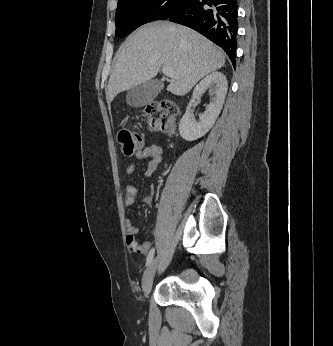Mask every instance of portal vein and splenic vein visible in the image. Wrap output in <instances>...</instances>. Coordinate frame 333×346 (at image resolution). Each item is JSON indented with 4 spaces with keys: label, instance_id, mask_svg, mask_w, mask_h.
Segmentation results:
<instances>
[{
    "label": "portal vein and splenic vein",
    "instance_id": "1",
    "mask_svg": "<svg viewBox=\"0 0 333 346\" xmlns=\"http://www.w3.org/2000/svg\"><path fill=\"white\" fill-rule=\"evenodd\" d=\"M162 72L165 76L176 79L178 77L177 73L170 67L164 66L162 67Z\"/></svg>",
    "mask_w": 333,
    "mask_h": 346
}]
</instances>
